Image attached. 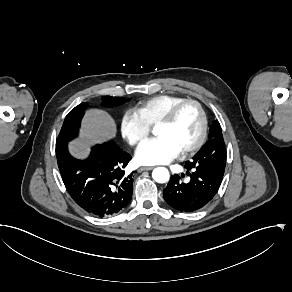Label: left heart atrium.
<instances>
[{
    "mask_svg": "<svg viewBox=\"0 0 292 292\" xmlns=\"http://www.w3.org/2000/svg\"><path fill=\"white\" fill-rule=\"evenodd\" d=\"M181 153L176 143L166 136L146 139L135 152V159L144 165L168 163Z\"/></svg>",
    "mask_w": 292,
    "mask_h": 292,
    "instance_id": "left-heart-atrium-1",
    "label": "left heart atrium"
}]
</instances>
